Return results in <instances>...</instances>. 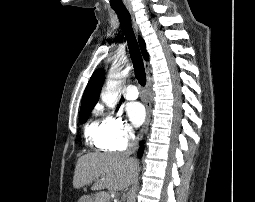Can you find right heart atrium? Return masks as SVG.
<instances>
[{
	"label": "right heart atrium",
	"mask_w": 255,
	"mask_h": 202,
	"mask_svg": "<svg viewBox=\"0 0 255 202\" xmlns=\"http://www.w3.org/2000/svg\"><path fill=\"white\" fill-rule=\"evenodd\" d=\"M103 123L105 146L109 150L125 149L134 138L130 124L118 114L107 113Z\"/></svg>",
	"instance_id": "obj_1"
}]
</instances>
